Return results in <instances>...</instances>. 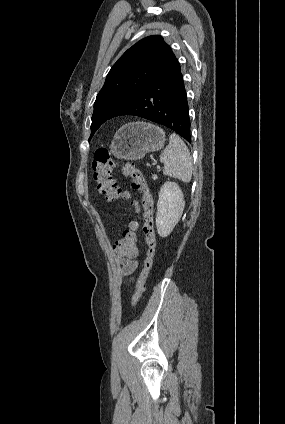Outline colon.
I'll return each mask as SVG.
<instances>
[{
	"label": "colon",
	"mask_w": 285,
	"mask_h": 424,
	"mask_svg": "<svg viewBox=\"0 0 285 424\" xmlns=\"http://www.w3.org/2000/svg\"><path fill=\"white\" fill-rule=\"evenodd\" d=\"M114 169H118L124 176L132 179V189L143 195L145 209L143 233L145 235L147 251L143 263L142 272L137 282V290L132 300L135 306L142 298L146 281L152 267L155 256L156 237L153 225V198L144 174L134 163L117 159L111 156L106 148H99L94 154L92 162L93 180L99 194L108 200H123L129 196L128 191L120 188L112 177ZM136 229L125 231L123 237L113 244L114 253L123 260L131 259L135 255L137 238Z\"/></svg>",
	"instance_id": "5ec220e1"
}]
</instances>
